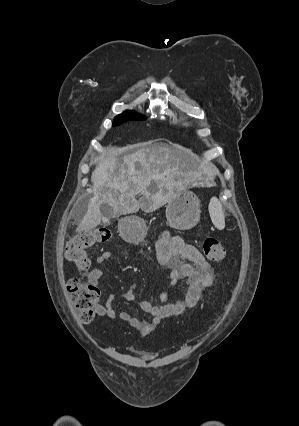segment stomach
Segmentation results:
<instances>
[{"mask_svg": "<svg viewBox=\"0 0 299 426\" xmlns=\"http://www.w3.org/2000/svg\"><path fill=\"white\" fill-rule=\"evenodd\" d=\"M200 201L189 190H181L168 201L166 206L167 224L178 230L193 228L200 220ZM123 236L130 242L144 239L147 226L144 220L136 217L124 220Z\"/></svg>", "mask_w": 299, "mask_h": 426, "instance_id": "stomach-1", "label": "stomach"}]
</instances>
